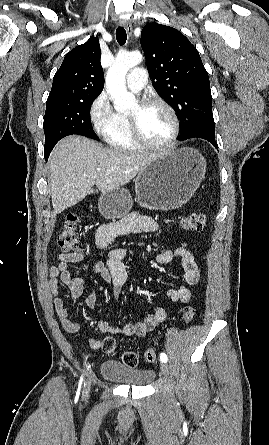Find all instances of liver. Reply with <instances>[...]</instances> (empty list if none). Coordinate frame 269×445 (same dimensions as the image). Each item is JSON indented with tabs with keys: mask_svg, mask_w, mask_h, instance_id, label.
Listing matches in <instances>:
<instances>
[{
	"mask_svg": "<svg viewBox=\"0 0 269 445\" xmlns=\"http://www.w3.org/2000/svg\"><path fill=\"white\" fill-rule=\"evenodd\" d=\"M157 154L104 148L81 136L62 139L49 159V186L54 212L59 214L94 192L102 193L127 184Z\"/></svg>",
	"mask_w": 269,
	"mask_h": 445,
	"instance_id": "6515ba94",
	"label": "liver"
}]
</instances>
